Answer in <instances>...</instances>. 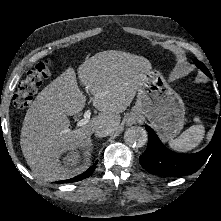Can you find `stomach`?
Listing matches in <instances>:
<instances>
[{
	"mask_svg": "<svg viewBox=\"0 0 221 221\" xmlns=\"http://www.w3.org/2000/svg\"><path fill=\"white\" fill-rule=\"evenodd\" d=\"M133 112L146 117L163 141L176 137L185 124L182 98L158 71L150 70L143 75Z\"/></svg>",
	"mask_w": 221,
	"mask_h": 221,
	"instance_id": "1",
	"label": "stomach"
}]
</instances>
